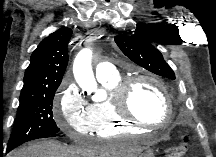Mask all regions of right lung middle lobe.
Masks as SVG:
<instances>
[{
	"instance_id": "dd1d6c3e",
	"label": "right lung middle lobe",
	"mask_w": 216,
	"mask_h": 157,
	"mask_svg": "<svg viewBox=\"0 0 216 157\" xmlns=\"http://www.w3.org/2000/svg\"><path fill=\"white\" fill-rule=\"evenodd\" d=\"M56 90L34 93L20 98L8 147L15 148L27 141L59 132L60 129L53 119L52 112V102Z\"/></svg>"
}]
</instances>
